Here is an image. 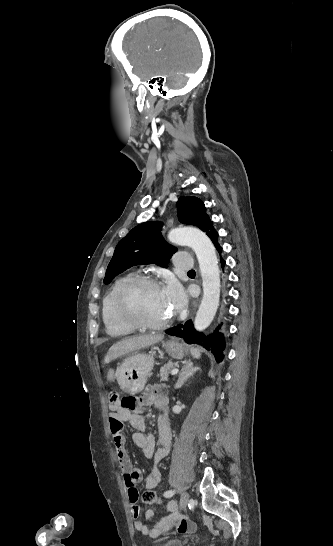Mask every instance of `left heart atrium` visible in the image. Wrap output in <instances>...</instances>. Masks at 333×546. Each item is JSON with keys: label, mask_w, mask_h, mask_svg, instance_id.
<instances>
[{"label": "left heart atrium", "mask_w": 333, "mask_h": 546, "mask_svg": "<svg viewBox=\"0 0 333 546\" xmlns=\"http://www.w3.org/2000/svg\"><path fill=\"white\" fill-rule=\"evenodd\" d=\"M162 291L172 313L178 312L184 307L186 302L184 291L173 278L167 279Z\"/></svg>", "instance_id": "39dd6f15"}]
</instances>
